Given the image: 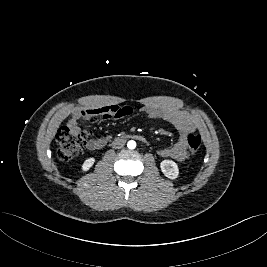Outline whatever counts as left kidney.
Segmentation results:
<instances>
[{
	"label": "left kidney",
	"mask_w": 267,
	"mask_h": 267,
	"mask_svg": "<svg viewBox=\"0 0 267 267\" xmlns=\"http://www.w3.org/2000/svg\"><path fill=\"white\" fill-rule=\"evenodd\" d=\"M163 174L169 179H176L179 175L178 165L172 160H163L160 163Z\"/></svg>",
	"instance_id": "5707ae66"
}]
</instances>
